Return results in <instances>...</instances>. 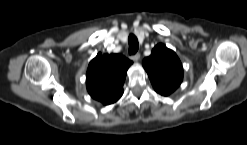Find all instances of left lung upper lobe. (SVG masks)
I'll use <instances>...</instances> for the list:
<instances>
[{
    "label": "left lung upper lobe",
    "mask_w": 247,
    "mask_h": 145,
    "mask_svg": "<svg viewBox=\"0 0 247 145\" xmlns=\"http://www.w3.org/2000/svg\"><path fill=\"white\" fill-rule=\"evenodd\" d=\"M150 81L161 95L167 96L175 91L183 79L182 64L174 51L163 44L156 45L149 57L143 60Z\"/></svg>",
    "instance_id": "5c2ea615"
}]
</instances>
